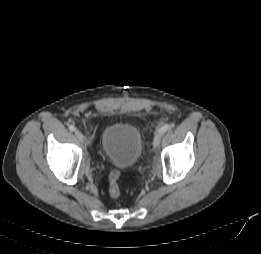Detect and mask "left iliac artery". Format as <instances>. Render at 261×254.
<instances>
[{
    "label": "left iliac artery",
    "mask_w": 261,
    "mask_h": 254,
    "mask_svg": "<svg viewBox=\"0 0 261 254\" xmlns=\"http://www.w3.org/2000/svg\"><path fill=\"white\" fill-rule=\"evenodd\" d=\"M172 128V126L170 124H165L164 126H162L159 131L162 133L167 132L168 130H170Z\"/></svg>",
    "instance_id": "1"
}]
</instances>
